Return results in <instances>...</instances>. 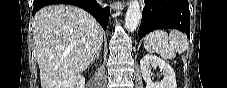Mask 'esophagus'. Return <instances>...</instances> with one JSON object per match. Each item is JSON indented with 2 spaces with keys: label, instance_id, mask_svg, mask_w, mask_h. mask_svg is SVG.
<instances>
[{
  "label": "esophagus",
  "instance_id": "1",
  "mask_svg": "<svg viewBox=\"0 0 227 88\" xmlns=\"http://www.w3.org/2000/svg\"><path fill=\"white\" fill-rule=\"evenodd\" d=\"M127 4V1H114L112 4H111V8L113 10H119V9H123L124 6Z\"/></svg>",
  "mask_w": 227,
  "mask_h": 88
}]
</instances>
